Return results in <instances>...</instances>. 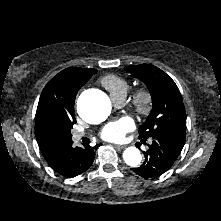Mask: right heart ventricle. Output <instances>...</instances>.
Masks as SVG:
<instances>
[{"label": "right heart ventricle", "mask_w": 221, "mask_h": 221, "mask_svg": "<svg viewBox=\"0 0 221 221\" xmlns=\"http://www.w3.org/2000/svg\"><path fill=\"white\" fill-rule=\"evenodd\" d=\"M101 83L110 92L111 97L117 95L126 96L130 87L127 79L116 75L103 77Z\"/></svg>", "instance_id": "obj_1"}]
</instances>
